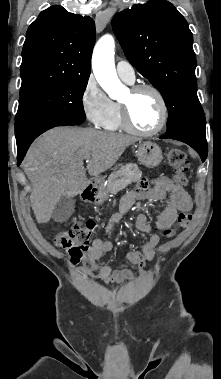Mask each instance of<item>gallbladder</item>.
Masks as SVG:
<instances>
[{
	"instance_id": "gallbladder-1",
	"label": "gallbladder",
	"mask_w": 221,
	"mask_h": 379,
	"mask_svg": "<svg viewBox=\"0 0 221 379\" xmlns=\"http://www.w3.org/2000/svg\"><path fill=\"white\" fill-rule=\"evenodd\" d=\"M75 209V199L62 196L56 203L52 213L55 222H63L69 219Z\"/></svg>"
}]
</instances>
